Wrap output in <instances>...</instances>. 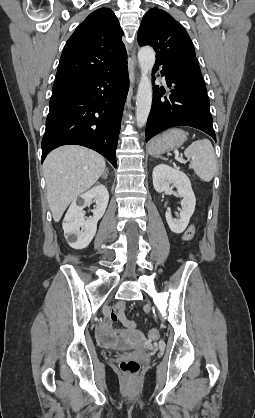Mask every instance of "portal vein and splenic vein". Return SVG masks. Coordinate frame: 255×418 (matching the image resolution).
Returning <instances> with one entry per match:
<instances>
[{
	"label": "portal vein and splenic vein",
	"instance_id": "1",
	"mask_svg": "<svg viewBox=\"0 0 255 418\" xmlns=\"http://www.w3.org/2000/svg\"><path fill=\"white\" fill-rule=\"evenodd\" d=\"M176 160L180 161V162H184V160L178 156L175 157Z\"/></svg>",
	"mask_w": 255,
	"mask_h": 418
}]
</instances>
